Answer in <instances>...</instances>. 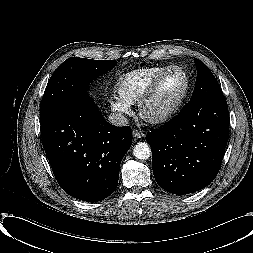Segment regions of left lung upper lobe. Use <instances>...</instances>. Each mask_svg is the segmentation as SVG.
Listing matches in <instances>:
<instances>
[{"label":"left lung upper lobe","instance_id":"left-lung-upper-lobe-1","mask_svg":"<svg viewBox=\"0 0 253 253\" xmlns=\"http://www.w3.org/2000/svg\"><path fill=\"white\" fill-rule=\"evenodd\" d=\"M197 68L196 86L190 102L206 105L215 98L223 96V92L211 70L200 60H194Z\"/></svg>","mask_w":253,"mask_h":253}]
</instances>
